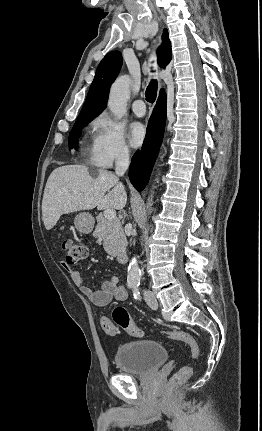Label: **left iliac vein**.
Instances as JSON below:
<instances>
[{
    "mask_svg": "<svg viewBox=\"0 0 262 431\" xmlns=\"http://www.w3.org/2000/svg\"><path fill=\"white\" fill-rule=\"evenodd\" d=\"M145 301L151 309L156 310L158 308V302L153 293L146 294Z\"/></svg>",
    "mask_w": 262,
    "mask_h": 431,
    "instance_id": "obj_1",
    "label": "left iliac vein"
}]
</instances>
